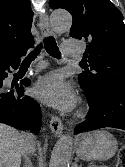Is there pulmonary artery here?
Wrapping results in <instances>:
<instances>
[{"mask_svg": "<svg viewBox=\"0 0 125 167\" xmlns=\"http://www.w3.org/2000/svg\"><path fill=\"white\" fill-rule=\"evenodd\" d=\"M62 49H63L64 54L67 57H70V58H77V57H79L78 42L75 39L65 40L62 43ZM42 68H43V65L40 64L38 66V70H41Z\"/></svg>", "mask_w": 125, "mask_h": 167, "instance_id": "obj_1", "label": "pulmonary artery"}]
</instances>
